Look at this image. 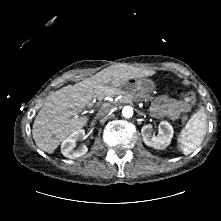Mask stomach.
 <instances>
[{
  "mask_svg": "<svg viewBox=\"0 0 221 221\" xmlns=\"http://www.w3.org/2000/svg\"><path fill=\"white\" fill-rule=\"evenodd\" d=\"M120 88L137 97L149 92L152 89V82L145 76H131L121 84Z\"/></svg>",
  "mask_w": 221,
  "mask_h": 221,
  "instance_id": "0dacf381",
  "label": "stomach"
}]
</instances>
